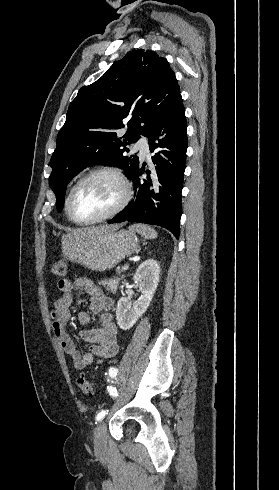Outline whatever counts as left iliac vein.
<instances>
[{
  "mask_svg": "<svg viewBox=\"0 0 279 490\" xmlns=\"http://www.w3.org/2000/svg\"><path fill=\"white\" fill-rule=\"evenodd\" d=\"M107 445V428L106 424L102 421L97 426L94 432V451L99 454L102 453Z\"/></svg>",
  "mask_w": 279,
  "mask_h": 490,
  "instance_id": "left-iliac-vein-1",
  "label": "left iliac vein"
}]
</instances>
